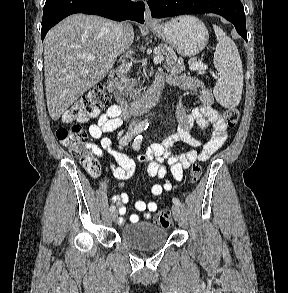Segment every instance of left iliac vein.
I'll return each instance as SVG.
<instances>
[{
	"label": "left iliac vein",
	"instance_id": "4c4485c4",
	"mask_svg": "<svg viewBox=\"0 0 288 293\" xmlns=\"http://www.w3.org/2000/svg\"><path fill=\"white\" fill-rule=\"evenodd\" d=\"M172 213H173V217L176 221L180 220V216H181V212H180V208L177 205H173L172 206Z\"/></svg>",
	"mask_w": 288,
	"mask_h": 293
}]
</instances>
